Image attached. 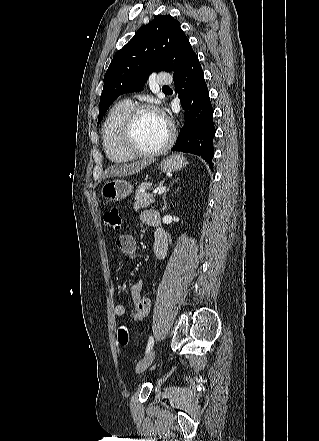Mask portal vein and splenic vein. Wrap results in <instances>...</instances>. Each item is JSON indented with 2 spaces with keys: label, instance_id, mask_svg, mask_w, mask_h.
<instances>
[{
  "label": "portal vein and splenic vein",
  "instance_id": "18ae733b",
  "mask_svg": "<svg viewBox=\"0 0 319 441\" xmlns=\"http://www.w3.org/2000/svg\"><path fill=\"white\" fill-rule=\"evenodd\" d=\"M165 191H166V187H161V188L157 189L156 193L160 195V194H163Z\"/></svg>",
  "mask_w": 319,
  "mask_h": 441
}]
</instances>
